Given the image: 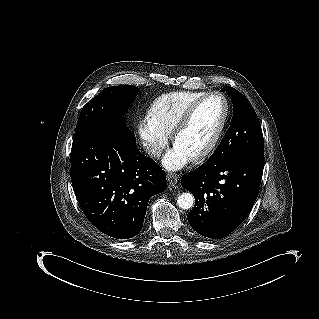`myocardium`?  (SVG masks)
<instances>
[{
	"label": "myocardium",
	"instance_id": "1",
	"mask_svg": "<svg viewBox=\"0 0 319 319\" xmlns=\"http://www.w3.org/2000/svg\"><path fill=\"white\" fill-rule=\"evenodd\" d=\"M214 97L220 98L222 100V102L224 104L223 115H222L220 123H219L215 133L213 134L212 138L210 139V141L200 150L195 151V152H191L194 159H200V158L206 156L216 146V144H217V142H218V140H219V138L224 130V127H225V124L227 121V117H228L229 106H228V102H227L226 97L222 93L217 92V91L210 92V93L203 95L201 98H199L196 102H194L186 110V112L180 118L178 123L175 125L173 132H172V139H173L174 143H177L180 131L186 125V123L189 121L192 113L197 108V106H199L202 102H204L210 98H214Z\"/></svg>",
	"mask_w": 319,
	"mask_h": 319
}]
</instances>
